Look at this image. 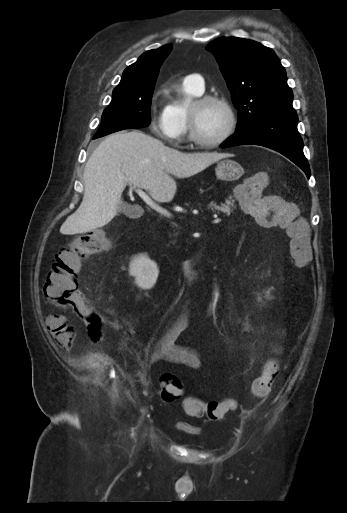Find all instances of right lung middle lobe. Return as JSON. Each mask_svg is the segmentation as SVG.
<instances>
[{"label":"right lung middle lobe","mask_w":347,"mask_h":513,"mask_svg":"<svg viewBox=\"0 0 347 513\" xmlns=\"http://www.w3.org/2000/svg\"><path fill=\"white\" fill-rule=\"evenodd\" d=\"M154 86L114 89L113 98L102 114L96 138L124 129L148 126Z\"/></svg>","instance_id":"right-lung-middle-lobe-1"}]
</instances>
